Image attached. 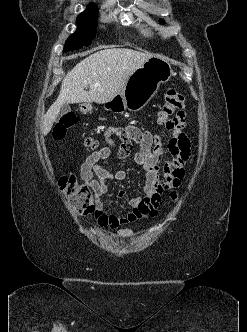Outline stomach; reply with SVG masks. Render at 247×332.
Listing matches in <instances>:
<instances>
[{
  "mask_svg": "<svg viewBox=\"0 0 247 332\" xmlns=\"http://www.w3.org/2000/svg\"><path fill=\"white\" fill-rule=\"evenodd\" d=\"M171 65L153 56L129 77L124 89L113 99L104 103L105 108L117 112L139 111L155 96L161 84L171 78Z\"/></svg>",
  "mask_w": 247,
  "mask_h": 332,
  "instance_id": "obj_1",
  "label": "stomach"
}]
</instances>
